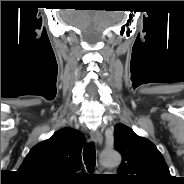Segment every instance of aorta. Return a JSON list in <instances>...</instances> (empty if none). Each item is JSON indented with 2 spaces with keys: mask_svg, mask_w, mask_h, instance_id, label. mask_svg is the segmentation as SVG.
Wrapping results in <instances>:
<instances>
[{
  "mask_svg": "<svg viewBox=\"0 0 184 184\" xmlns=\"http://www.w3.org/2000/svg\"><path fill=\"white\" fill-rule=\"evenodd\" d=\"M102 165L106 167L118 166L121 162L120 154L115 150H104L100 157Z\"/></svg>",
  "mask_w": 184,
  "mask_h": 184,
  "instance_id": "762f6f07",
  "label": "aorta"
}]
</instances>
